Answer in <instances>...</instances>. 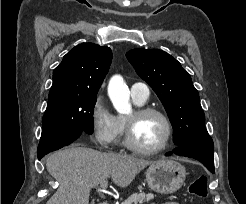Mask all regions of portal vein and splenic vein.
Returning a JSON list of instances; mask_svg holds the SVG:
<instances>
[{"instance_id": "1", "label": "portal vein and splenic vein", "mask_w": 246, "mask_h": 204, "mask_svg": "<svg viewBox=\"0 0 246 204\" xmlns=\"http://www.w3.org/2000/svg\"><path fill=\"white\" fill-rule=\"evenodd\" d=\"M108 186V181L107 180H104L100 183V187L102 190H105Z\"/></svg>"}]
</instances>
